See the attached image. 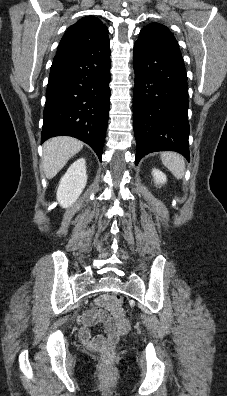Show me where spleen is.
I'll return each instance as SVG.
<instances>
[{
	"label": "spleen",
	"instance_id": "obj_1",
	"mask_svg": "<svg viewBox=\"0 0 227 396\" xmlns=\"http://www.w3.org/2000/svg\"><path fill=\"white\" fill-rule=\"evenodd\" d=\"M162 163L173 173L177 179H181L185 172L184 158L176 152H163Z\"/></svg>",
	"mask_w": 227,
	"mask_h": 396
}]
</instances>
